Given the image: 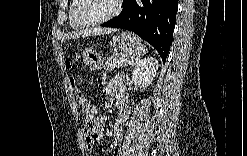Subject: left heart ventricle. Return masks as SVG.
<instances>
[{
	"label": "left heart ventricle",
	"mask_w": 247,
	"mask_h": 156,
	"mask_svg": "<svg viewBox=\"0 0 247 156\" xmlns=\"http://www.w3.org/2000/svg\"><path fill=\"white\" fill-rule=\"evenodd\" d=\"M112 9V0H86L81 5L78 17L83 22L95 21L109 14Z\"/></svg>",
	"instance_id": "b2bd125f"
}]
</instances>
